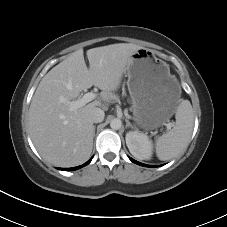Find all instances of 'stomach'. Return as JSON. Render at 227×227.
<instances>
[{"label": "stomach", "instance_id": "0dacf381", "mask_svg": "<svg viewBox=\"0 0 227 227\" xmlns=\"http://www.w3.org/2000/svg\"><path fill=\"white\" fill-rule=\"evenodd\" d=\"M127 86L136 124L153 130L169 121L180 101L181 87L169 65L154 52L141 48L127 65Z\"/></svg>", "mask_w": 227, "mask_h": 227}]
</instances>
